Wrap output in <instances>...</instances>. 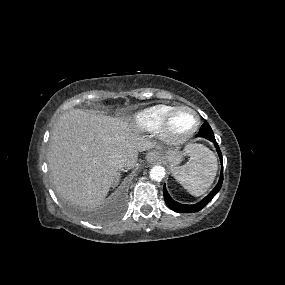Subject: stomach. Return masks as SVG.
<instances>
[{"mask_svg":"<svg viewBox=\"0 0 285 285\" xmlns=\"http://www.w3.org/2000/svg\"><path fill=\"white\" fill-rule=\"evenodd\" d=\"M162 158L166 159L172 168L176 167L183 159L184 153L178 149H170L161 154Z\"/></svg>","mask_w":285,"mask_h":285,"instance_id":"stomach-1","label":"stomach"}]
</instances>
